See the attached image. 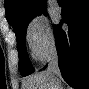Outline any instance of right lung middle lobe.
<instances>
[{"label": "right lung middle lobe", "mask_w": 89, "mask_h": 89, "mask_svg": "<svg viewBox=\"0 0 89 89\" xmlns=\"http://www.w3.org/2000/svg\"><path fill=\"white\" fill-rule=\"evenodd\" d=\"M41 13H45V11ZM41 13L31 16L17 23L13 27L15 35H16V40H17V48H18V54H19V68H20V73L22 76H27L34 72V68L29 60L27 50H26V45H25L26 30L30 21L37 15H40Z\"/></svg>", "instance_id": "right-lung-middle-lobe-1"}]
</instances>
